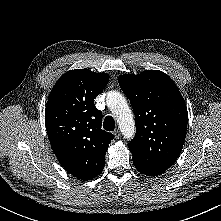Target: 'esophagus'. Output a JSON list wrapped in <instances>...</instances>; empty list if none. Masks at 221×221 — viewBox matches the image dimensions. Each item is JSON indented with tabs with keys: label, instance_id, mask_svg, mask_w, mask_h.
<instances>
[{
	"label": "esophagus",
	"instance_id": "esophagus-1",
	"mask_svg": "<svg viewBox=\"0 0 221 221\" xmlns=\"http://www.w3.org/2000/svg\"><path fill=\"white\" fill-rule=\"evenodd\" d=\"M120 135H121L120 130H119V129H116V130L114 131V136H115V138H116V139H119V138H120Z\"/></svg>",
	"mask_w": 221,
	"mask_h": 221
}]
</instances>
